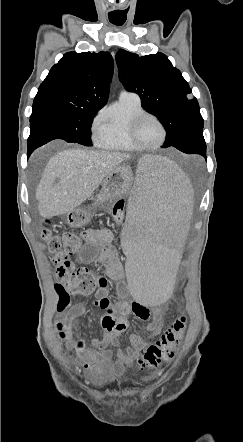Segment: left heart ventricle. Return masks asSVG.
I'll list each match as a JSON object with an SVG mask.
<instances>
[{"label":"left heart ventricle","mask_w":243,"mask_h":442,"mask_svg":"<svg viewBox=\"0 0 243 442\" xmlns=\"http://www.w3.org/2000/svg\"><path fill=\"white\" fill-rule=\"evenodd\" d=\"M137 136L144 145L153 146L161 140L162 130L153 118H145L138 125Z\"/></svg>","instance_id":"1"}]
</instances>
